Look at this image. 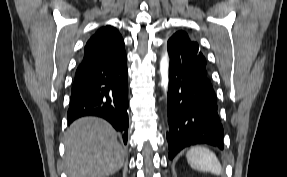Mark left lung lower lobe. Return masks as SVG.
Masks as SVG:
<instances>
[{"label": "left lung lower lobe", "mask_w": 287, "mask_h": 177, "mask_svg": "<svg viewBox=\"0 0 287 177\" xmlns=\"http://www.w3.org/2000/svg\"><path fill=\"white\" fill-rule=\"evenodd\" d=\"M167 45L169 159L194 144L206 143L223 149V128L206 67L184 58L174 41L169 39Z\"/></svg>", "instance_id": "1"}]
</instances>
